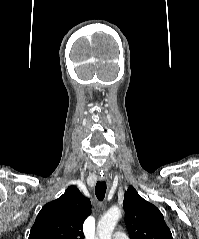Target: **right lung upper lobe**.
I'll return each mask as SVG.
<instances>
[{
    "instance_id": "obj_1",
    "label": "right lung upper lobe",
    "mask_w": 199,
    "mask_h": 239,
    "mask_svg": "<svg viewBox=\"0 0 199 239\" xmlns=\"http://www.w3.org/2000/svg\"><path fill=\"white\" fill-rule=\"evenodd\" d=\"M91 212L90 200L75 186L44 205L31 228L29 239H84L83 223Z\"/></svg>"
}]
</instances>
